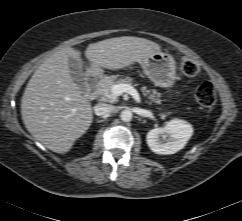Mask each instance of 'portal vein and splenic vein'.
Masks as SVG:
<instances>
[{"label": "portal vein and splenic vein", "mask_w": 242, "mask_h": 221, "mask_svg": "<svg viewBox=\"0 0 242 221\" xmlns=\"http://www.w3.org/2000/svg\"><path fill=\"white\" fill-rule=\"evenodd\" d=\"M112 93L115 96H121L123 93H128L133 96V98L140 102V97L136 89H134L130 84H116L112 87Z\"/></svg>", "instance_id": "obj_1"}]
</instances>
